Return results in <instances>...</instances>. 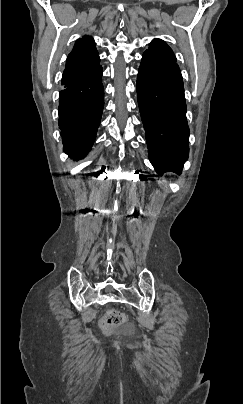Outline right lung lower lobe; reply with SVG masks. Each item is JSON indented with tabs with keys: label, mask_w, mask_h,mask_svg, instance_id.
I'll list each match as a JSON object with an SVG mask.
<instances>
[{
	"label": "right lung lower lobe",
	"mask_w": 243,
	"mask_h": 404,
	"mask_svg": "<svg viewBox=\"0 0 243 404\" xmlns=\"http://www.w3.org/2000/svg\"><path fill=\"white\" fill-rule=\"evenodd\" d=\"M102 67L72 78L59 94V128L64 152L82 159L95 141L104 106Z\"/></svg>",
	"instance_id": "obj_1"
}]
</instances>
